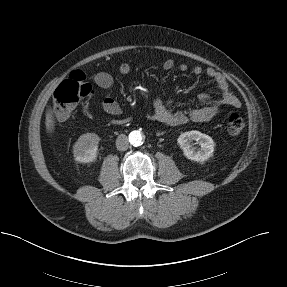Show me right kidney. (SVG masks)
I'll list each match as a JSON object with an SVG mask.
<instances>
[{
	"instance_id": "right-kidney-1",
	"label": "right kidney",
	"mask_w": 287,
	"mask_h": 287,
	"mask_svg": "<svg viewBox=\"0 0 287 287\" xmlns=\"http://www.w3.org/2000/svg\"><path fill=\"white\" fill-rule=\"evenodd\" d=\"M100 138L95 133L81 135L73 146V156L80 163H89L96 159Z\"/></svg>"
}]
</instances>
